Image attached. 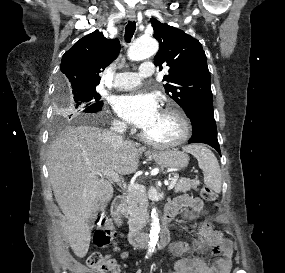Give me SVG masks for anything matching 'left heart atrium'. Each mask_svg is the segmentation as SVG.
I'll return each mask as SVG.
<instances>
[{
	"instance_id": "left-heart-atrium-1",
	"label": "left heart atrium",
	"mask_w": 285,
	"mask_h": 273,
	"mask_svg": "<svg viewBox=\"0 0 285 273\" xmlns=\"http://www.w3.org/2000/svg\"><path fill=\"white\" fill-rule=\"evenodd\" d=\"M116 113L128 123L144 130L160 115V106L154 95L137 92L117 97Z\"/></svg>"
}]
</instances>
